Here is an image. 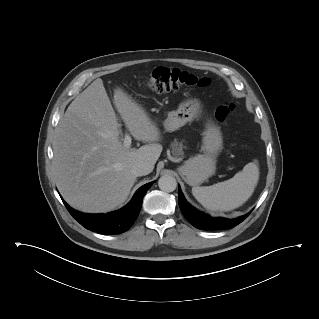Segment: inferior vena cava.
I'll return each mask as SVG.
<instances>
[{
	"label": "inferior vena cava",
	"instance_id": "inferior-vena-cava-1",
	"mask_svg": "<svg viewBox=\"0 0 319 319\" xmlns=\"http://www.w3.org/2000/svg\"><path fill=\"white\" fill-rule=\"evenodd\" d=\"M152 171V168L148 162L141 161L136 162L131 166V172L135 176H144L149 174Z\"/></svg>",
	"mask_w": 319,
	"mask_h": 319
}]
</instances>
